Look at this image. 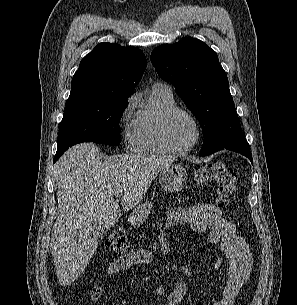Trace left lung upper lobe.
I'll use <instances>...</instances> for the list:
<instances>
[{"mask_svg":"<svg viewBox=\"0 0 297 305\" xmlns=\"http://www.w3.org/2000/svg\"><path fill=\"white\" fill-rule=\"evenodd\" d=\"M158 75L171 82L203 126L200 155L249 147L238 119L227 75L214 50L196 38L163 44L151 53Z\"/></svg>","mask_w":297,"mask_h":305,"instance_id":"5c2ea615","label":"left lung upper lobe"}]
</instances>
